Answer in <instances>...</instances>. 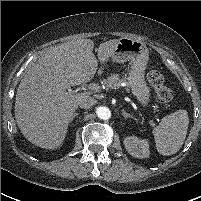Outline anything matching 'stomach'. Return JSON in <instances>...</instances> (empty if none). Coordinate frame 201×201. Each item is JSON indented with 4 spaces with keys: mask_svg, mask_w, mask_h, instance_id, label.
Masks as SVG:
<instances>
[{
    "mask_svg": "<svg viewBox=\"0 0 201 201\" xmlns=\"http://www.w3.org/2000/svg\"><path fill=\"white\" fill-rule=\"evenodd\" d=\"M111 60L118 63L130 61L128 85L137 100L146 105L150 97L149 87L144 80V70L149 60L146 45L131 38H122L116 45Z\"/></svg>",
    "mask_w": 201,
    "mask_h": 201,
    "instance_id": "stomach-1",
    "label": "stomach"
}]
</instances>
